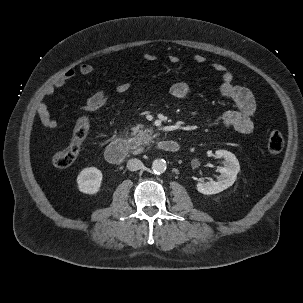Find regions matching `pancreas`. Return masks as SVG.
<instances>
[{"label": "pancreas", "mask_w": 303, "mask_h": 303, "mask_svg": "<svg viewBox=\"0 0 303 303\" xmlns=\"http://www.w3.org/2000/svg\"><path fill=\"white\" fill-rule=\"evenodd\" d=\"M152 129H143V125L139 124L132 128L131 135L133 138L130 140V147L133 149H142V145H149L152 142Z\"/></svg>", "instance_id": "obj_1"}]
</instances>
